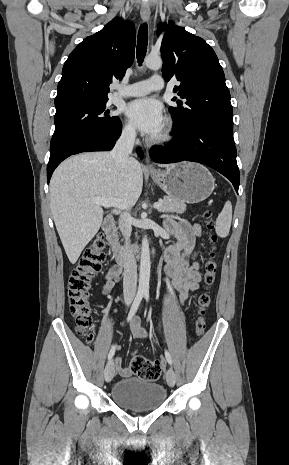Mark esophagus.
I'll list each match as a JSON object with an SVG mask.
<instances>
[{"label":"esophagus","instance_id":"esophagus-1","mask_svg":"<svg viewBox=\"0 0 289 465\" xmlns=\"http://www.w3.org/2000/svg\"><path fill=\"white\" fill-rule=\"evenodd\" d=\"M140 15H141V18H142L143 21L148 22L150 20V15H151L150 9L149 8H142L141 11H140ZM146 168L148 170H150V171L155 170V167L151 163L149 157H147V159H146Z\"/></svg>","mask_w":289,"mask_h":465}]
</instances>
